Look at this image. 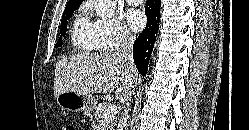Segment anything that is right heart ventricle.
Segmentation results:
<instances>
[{"label": "right heart ventricle", "mask_w": 249, "mask_h": 130, "mask_svg": "<svg viewBox=\"0 0 249 130\" xmlns=\"http://www.w3.org/2000/svg\"><path fill=\"white\" fill-rule=\"evenodd\" d=\"M71 41L74 47L81 51L100 50V42L95 29L84 11L80 12L73 23L71 30Z\"/></svg>", "instance_id": "obj_1"}]
</instances>
